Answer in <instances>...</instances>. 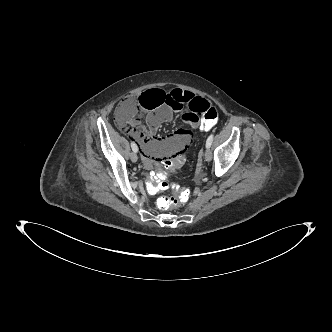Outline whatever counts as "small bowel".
Masks as SVG:
<instances>
[{
    "instance_id": "c3829d8e",
    "label": "small bowel",
    "mask_w": 332,
    "mask_h": 332,
    "mask_svg": "<svg viewBox=\"0 0 332 332\" xmlns=\"http://www.w3.org/2000/svg\"><path fill=\"white\" fill-rule=\"evenodd\" d=\"M210 106L207 99L179 88L170 91L162 85L154 84L144 89L137 98L138 110L145 116L146 125L140 119L123 124L118 116V124L135 140L143 153V161L150 166L154 161L165 160L168 155L187 151L191 141L189 130H180L170 137H157L159 127L171 120L173 112L182 111L183 120L191 128L197 129L199 115Z\"/></svg>"
}]
</instances>
